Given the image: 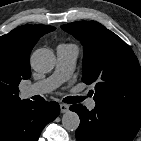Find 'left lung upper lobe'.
Returning a JSON list of instances; mask_svg holds the SVG:
<instances>
[{
	"label": "left lung upper lobe",
	"instance_id": "left-lung-upper-lobe-1",
	"mask_svg": "<svg viewBox=\"0 0 141 141\" xmlns=\"http://www.w3.org/2000/svg\"><path fill=\"white\" fill-rule=\"evenodd\" d=\"M61 28L84 46L82 80L96 84V104L141 116V68L132 49L95 21Z\"/></svg>",
	"mask_w": 141,
	"mask_h": 141
}]
</instances>
